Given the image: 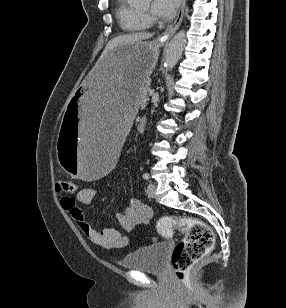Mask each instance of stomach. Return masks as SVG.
Instances as JSON below:
<instances>
[{
  "mask_svg": "<svg viewBox=\"0 0 286 308\" xmlns=\"http://www.w3.org/2000/svg\"><path fill=\"white\" fill-rule=\"evenodd\" d=\"M159 42L136 40L120 44L96 66L67 100L57 159L64 173L79 182H100L113 173L121 159V144L126 125H132L136 107H141L139 87L154 69Z\"/></svg>",
  "mask_w": 286,
  "mask_h": 308,
  "instance_id": "stomach-1",
  "label": "stomach"
}]
</instances>
